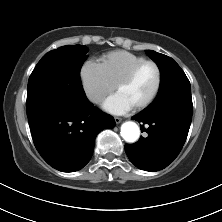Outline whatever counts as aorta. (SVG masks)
Here are the masks:
<instances>
[{
    "label": "aorta",
    "mask_w": 222,
    "mask_h": 222,
    "mask_svg": "<svg viewBox=\"0 0 222 222\" xmlns=\"http://www.w3.org/2000/svg\"><path fill=\"white\" fill-rule=\"evenodd\" d=\"M121 136L128 143H134L139 139L140 129L134 122L127 121L121 126Z\"/></svg>",
    "instance_id": "762f6f07"
}]
</instances>
